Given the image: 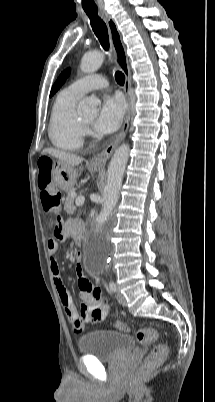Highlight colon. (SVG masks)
I'll return each instance as SVG.
<instances>
[{
    "instance_id": "1",
    "label": "colon",
    "mask_w": 215,
    "mask_h": 402,
    "mask_svg": "<svg viewBox=\"0 0 215 402\" xmlns=\"http://www.w3.org/2000/svg\"><path fill=\"white\" fill-rule=\"evenodd\" d=\"M38 176L37 183L41 191V203L43 209L50 213L55 218L57 217L58 208L61 202V195L56 191L52 184V157L51 156H38ZM118 328L125 331L127 326L118 322ZM158 330L153 328L140 329L136 333V339L140 344H150L159 338ZM168 352V347L164 343L156 345L150 353L146 356L141 369V375H147L150 371L158 367L165 359Z\"/></svg>"
}]
</instances>
